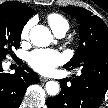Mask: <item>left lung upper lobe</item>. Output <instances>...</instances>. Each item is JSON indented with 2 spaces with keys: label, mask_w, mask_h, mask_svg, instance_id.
I'll list each match as a JSON object with an SVG mask.
<instances>
[{
  "label": "left lung upper lobe",
  "mask_w": 108,
  "mask_h": 108,
  "mask_svg": "<svg viewBox=\"0 0 108 108\" xmlns=\"http://www.w3.org/2000/svg\"><path fill=\"white\" fill-rule=\"evenodd\" d=\"M62 10L81 23L79 46L73 58L64 67L76 68L85 64L108 63V27L103 20L84 8L66 7Z\"/></svg>",
  "instance_id": "obj_1"
}]
</instances>
